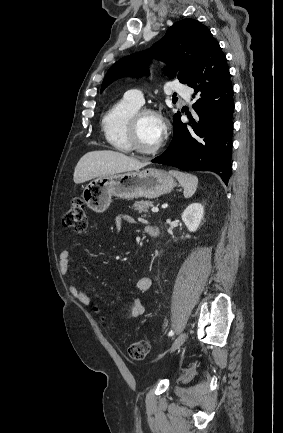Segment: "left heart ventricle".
Wrapping results in <instances>:
<instances>
[{
  "mask_svg": "<svg viewBox=\"0 0 283 433\" xmlns=\"http://www.w3.org/2000/svg\"><path fill=\"white\" fill-rule=\"evenodd\" d=\"M163 133L162 120L153 114L143 116L138 129V138L143 149L154 151Z\"/></svg>",
  "mask_w": 283,
  "mask_h": 433,
  "instance_id": "obj_1",
  "label": "left heart ventricle"
}]
</instances>
